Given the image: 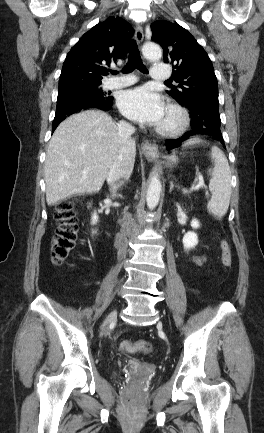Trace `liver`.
I'll return each instance as SVG.
<instances>
[{
    "label": "liver",
    "mask_w": 264,
    "mask_h": 433,
    "mask_svg": "<svg viewBox=\"0 0 264 433\" xmlns=\"http://www.w3.org/2000/svg\"><path fill=\"white\" fill-rule=\"evenodd\" d=\"M122 147L118 126L105 112L87 110L64 120L49 142L44 164L48 206L73 195L100 191L114 163L129 178L135 140L130 138L121 152Z\"/></svg>",
    "instance_id": "obj_1"
}]
</instances>
